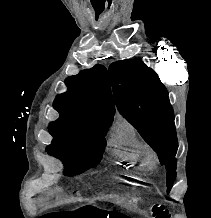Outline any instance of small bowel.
<instances>
[{"label": "small bowel", "mask_w": 211, "mask_h": 218, "mask_svg": "<svg viewBox=\"0 0 211 218\" xmlns=\"http://www.w3.org/2000/svg\"><path fill=\"white\" fill-rule=\"evenodd\" d=\"M62 193L63 191L60 188L50 189L42 194V196L39 198V202L42 203L49 197L59 196Z\"/></svg>", "instance_id": "obj_1"}]
</instances>
